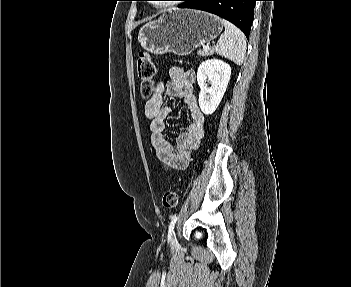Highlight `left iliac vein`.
<instances>
[{
    "mask_svg": "<svg viewBox=\"0 0 351 287\" xmlns=\"http://www.w3.org/2000/svg\"><path fill=\"white\" fill-rule=\"evenodd\" d=\"M170 240H171V241H174V232L171 233Z\"/></svg>",
    "mask_w": 351,
    "mask_h": 287,
    "instance_id": "4c4485c4",
    "label": "left iliac vein"
}]
</instances>
